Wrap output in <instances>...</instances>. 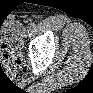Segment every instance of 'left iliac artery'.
<instances>
[{"label":"left iliac artery","instance_id":"obj_1","mask_svg":"<svg viewBox=\"0 0 93 93\" xmlns=\"http://www.w3.org/2000/svg\"><path fill=\"white\" fill-rule=\"evenodd\" d=\"M29 27H35V24H34L33 22H31V23L29 24Z\"/></svg>","mask_w":93,"mask_h":93}]
</instances>
